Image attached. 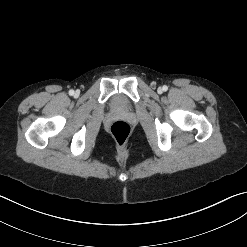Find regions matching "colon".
<instances>
[{
	"label": "colon",
	"mask_w": 247,
	"mask_h": 247,
	"mask_svg": "<svg viewBox=\"0 0 247 247\" xmlns=\"http://www.w3.org/2000/svg\"><path fill=\"white\" fill-rule=\"evenodd\" d=\"M110 132L119 145H124L130 136L131 127L125 121H116L111 125Z\"/></svg>",
	"instance_id": "obj_1"
}]
</instances>
